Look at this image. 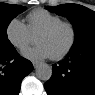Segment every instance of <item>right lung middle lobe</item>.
<instances>
[{
    "mask_svg": "<svg viewBox=\"0 0 95 95\" xmlns=\"http://www.w3.org/2000/svg\"><path fill=\"white\" fill-rule=\"evenodd\" d=\"M24 9L23 6L0 3V50H5L13 46L7 38L6 29L11 20L18 13L23 12Z\"/></svg>",
    "mask_w": 95,
    "mask_h": 95,
    "instance_id": "1",
    "label": "right lung middle lobe"
}]
</instances>
